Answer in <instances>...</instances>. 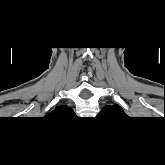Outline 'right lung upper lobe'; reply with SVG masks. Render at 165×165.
<instances>
[{"mask_svg": "<svg viewBox=\"0 0 165 165\" xmlns=\"http://www.w3.org/2000/svg\"><path fill=\"white\" fill-rule=\"evenodd\" d=\"M74 115V112L71 108L66 105L57 106L52 112L48 113L46 117L63 119L68 116Z\"/></svg>", "mask_w": 165, "mask_h": 165, "instance_id": "right-lung-upper-lobe-1", "label": "right lung upper lobe"}]
</instances>
